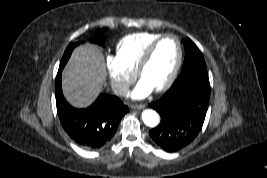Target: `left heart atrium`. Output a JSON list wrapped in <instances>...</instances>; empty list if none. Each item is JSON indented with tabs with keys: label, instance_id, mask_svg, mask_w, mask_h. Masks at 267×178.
I'll return each instance as SVG.
<instances>
[{
	"label": "left heart atrium",
	"instance_id": "obj_1",
	"mask_svg": "<svg viewBox=\"0 0 267 178\" xmlns=\"http://www.w3.org/2000/svg\"><path fill=\"white\" fill-rule=\"evenodd\" d=\"M153 91V88L144 80H140L136 87L132 90L130 93V97L132 99H143L147 97L151 92Z\"/></svg>",
	"mask_w": 267,
	"mask_h": 178
}]
</instances>
